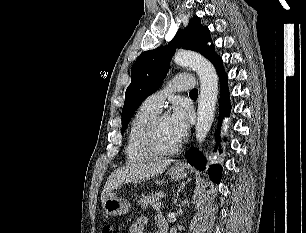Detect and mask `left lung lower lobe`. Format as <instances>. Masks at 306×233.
<instances>
[{
    "label": "left lung lower lobe",
    "mask_w": 306,
    "mask_h": 233,
    "mask_svg": "<svg viewBox=\"0 0 306 233\" xmlns=\"http://www.w3.org/2000/svg\"><path fill=\"white\" fill-rule=\"evenodd\" d=\"M212 63L215 66L218 76L220 78V87H221V95H220V100H219V123H218V129L215 134V138L218 141L222 119L224 116H228L230 112V101H229V93H228V86H227V76L223 68L222 59L219 56H217L216 58H214ZM186 159L192 166L200 170L205 169L204 168L205 159L203 155L196 149L194 148L190 149L188 153L186 154ZM208 171H209V174L211 175V178L217 183H219L221 176H222L221 166L212 165L210 166V169Z\"/></svg>",
    "instance_id": "obj_1"
}]
</instances>
